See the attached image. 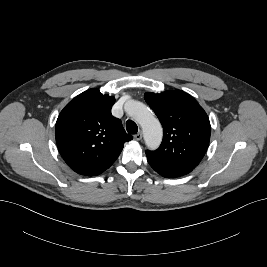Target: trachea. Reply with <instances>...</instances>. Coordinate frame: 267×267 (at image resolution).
Returning <instances> with one entry per match:
<instances>
[{
	"label": "trachea",
	"instance_id": "1",
	"mask_svg": "<svg viewBox=\"0 0 267 267\" xmlns=\"http://www.w3.org/2000/svg\"><path fill=\"white\" fill-rule=\"evenodd\" d=\"M126 130L129 134H136L138 131V126L132 120H128L126 122Z\"/></svg>",
	"mask_w": 267,
	"mask_h": 267
}]
</instances>
